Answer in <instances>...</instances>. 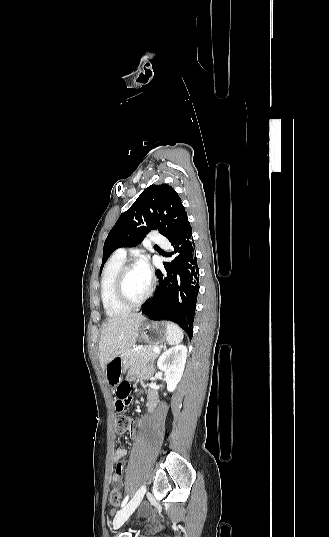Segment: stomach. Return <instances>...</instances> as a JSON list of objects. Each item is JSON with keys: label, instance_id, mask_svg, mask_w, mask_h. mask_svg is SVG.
Instances as JSON below:
<instances>
[{"label": "stomach", "instance_id": "1", "mask_svg": "<svg viewBox=\"0 0 329 537\" xmlns=\"http://www.w3.org/2000/svg\"><path fill=\"white\" fill-rule=\"evenodd\" d=\"M140 338L152 345H161L165 343L168 335V323L161 322H147L140 330ZM121 359L119 356L112 359L105 368L106 380L109 385H116L121 381L123 372Z\"/></svg>", "mask_w": 329, "mask_h": 537}]
</instances>
